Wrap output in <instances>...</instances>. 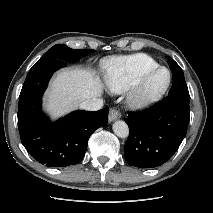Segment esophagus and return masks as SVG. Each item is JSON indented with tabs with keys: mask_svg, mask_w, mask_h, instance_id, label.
Masks as SVG:
<instances>
[{
	"mask_svg": "<svg viewBox=\"0 0 213 213\" xmlns=\"http://www.w3.org/2000/svg\"><path fill=\"white\" fill-rule=\"evenodd\" d=\"M120 118V113L116 109H111L108 115L109 122H112L114 120H117Z\"/></svg>",
	"mask_w": 213,
	"mask_h": 213,
	"instance_id": "esophagus-1",
	"label": "esophagus"
}]
</instances>
